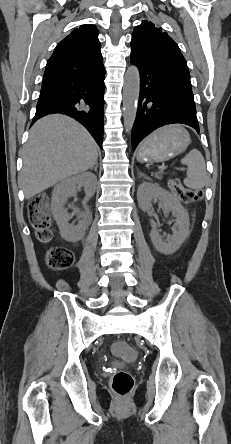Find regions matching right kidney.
I'll return each instance as SVG.
<instances>
[{"label":"right kidney","instance_id":"ca27d5eb","mask_svg":"<svg viewBox=\"0 0 231 444\" xmlns=\"http://www.w3.org/2000/svg\"><path fill=\"white\" fill-rule=\"evenodd\" d=\"M97 178L94 174L84 172L57 184L52 193V212L54 219L59 227L61 236L69 241L76 242L80 240L88 228L90 221L83 219L76 226L69 223L70 215L64 207L69 197L76 195V186L84 187L86 198H91L96 190Z\"/></svg>","mask_w":231,"mask_h":444}]
</instances>
